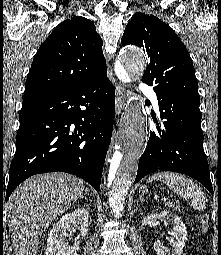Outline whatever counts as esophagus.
I'll list each match as a JSON object with an SVG mask.
<instances>
[{"instance_id":"1","label":"esophagus","mask_w":221,"mask_h":255,"mask_svg":"<svg viewBox=\"0 0 221 255\" xmlns=\"http://www.w3.org/2000/svg\"><path fill=\"white\" fill-rule=\"evenodd\" d=\"M116 113L120 115L124 106L127 91L122 83L116 82Z\"/></svg>"}]
</instances>
